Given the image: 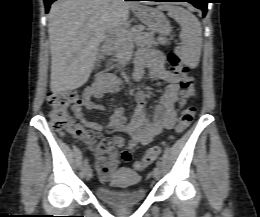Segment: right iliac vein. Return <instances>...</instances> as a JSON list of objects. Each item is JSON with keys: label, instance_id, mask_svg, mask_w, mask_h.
<instances>
[{"label": "right iliac vein", "instance_id": "1", "mask_svg": "<svg viewBox=\"0 0 260 217\" xmlns=\"http://www.w3.org/2000/svg\"><path fill=\"white\" fill-rule=\"evenodd\" d=\"M84 172L87 179L92 177V169L89 166H86Z\"/></svg>", "mask_w": 260, "mask_h": 217}]
</instances>
